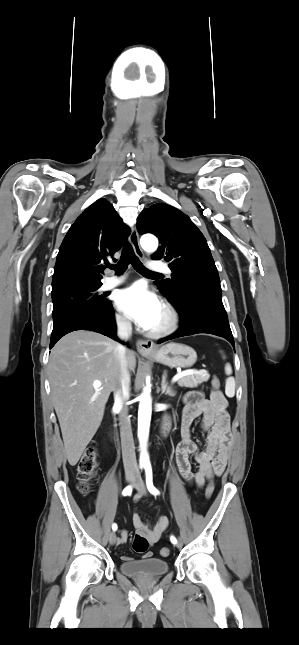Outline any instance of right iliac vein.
Here are the masks:
<instances>
[{"label":"right iliac vein","mask_w":299,"mask_h":645,"mask_svg":"<svg viewBox=\"0 0 299 645\" xmlns=\"http://www.w3.org/2000/svg\"><path fill=\"white\" fill-rule=\"evenodd\" d=\"M126 480H127L128 482H130V483H131V482H133V481L135 480V475H134L133 473H127V474H126ZM116 540H117V535H116V533H115V532H111V533H110V535H109V542H110V544H111V545H114V544L116 543Z\"/></svg>","instance_id":"1"}]
</instances>
